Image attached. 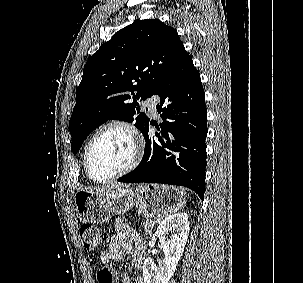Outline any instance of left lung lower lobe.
<instances>
[{
    "label": "left lung lower lobe",
    "mask_w": 303,
    "mask_h": 283,
    "mask_svg": "<svg viewBox=\"0 0 303 283\" xmlns=\"http://www.w3.org/2000/svg\"><path fill=\"white\" fill-rule=\"evenodd\" d=\"M153 95L163 122L156 138L142 133L146 141L142 161L118 179L127 183H164L185 186L204 198L207 110L200 74L184 49Z\"/></svg>",
    "instance_id": "obj_1"
}]
</instances>
